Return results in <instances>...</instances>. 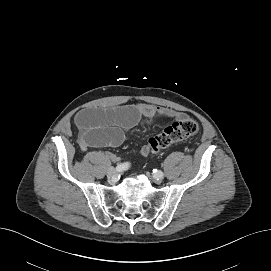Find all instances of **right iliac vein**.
<instances>
[{"label": "right iliac vein", "mask_w": 271, "mask_h": 271, "mask_svg": "<svg viewBox=\"0 0 271 271\" xmlns=\"http://www.w3.org/2000/svg\"><path fill=\"white\" fill-rule=\"evenodd\" d=\"M107 176L110 182L114 183L116 181L117 178V172L115 169L110 168L107 172Z\"/></svg>", "instance_id": "right-iliac-vein-1"}]
</instances>
